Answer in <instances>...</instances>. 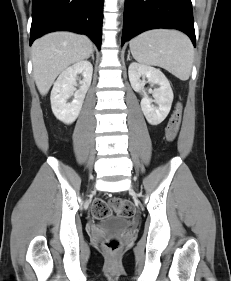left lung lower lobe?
<instances>
[{"instance_id":"left-lung-lower-lobe-1","label":"left lung lower lobe","mask_w":231,"mask_h":281,"mask_svg":"<svg viewBox=\"0 0 231 281\" xmlns=\"http://www.w3.org/2000/svg\"><path fill=\"white\" fill-rule=\"evenodd\" d=\"M157 28L181 30L196 46L191 0H125L122 45L129 37Z\"/></svg>"}]
</instances>
